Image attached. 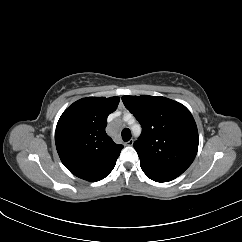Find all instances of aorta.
<instances>
[{"mask_svg": "<svg viewBox=\"0 0 242 242\" xmlns=\"http://www.w3.org/2000/svg\"><path fill=\"white\" fill-rule=\"evenodd\" d=\"M132 131L135 135H139L141 132V127L138 124L132 126Z\"/></svg>", "mask_w": 242, "mask_h": 242, "instance_id": "aorta-1", "label": "aorta"}]
</instances>
